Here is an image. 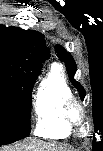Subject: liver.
<instances>
[{
    "mask_svg": "<svg viewBox=\"0 0 103 151\" xmlns=\"http://www.w3.org/2000/svg\"><path fill=\"white\" fill-rule=\"evenodd\" d=\"M7 151H71L61 145L28 138L25 142L7 148Z\"/></svg>",
    "mask_w": 103,
    "mask_h": 151,
    "instance_id": "1",
    "label": "liver"
}]
</instances>
